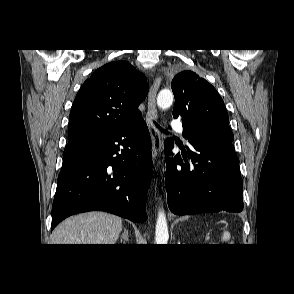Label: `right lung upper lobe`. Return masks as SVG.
<instances>
[{"label":"right lung upper lobe","instance_id":"right-lung-upper-lobe-1","mask_svg":"<svg viewBox=\"0 0 294 294\" xmlns=\"http://www.w3.org/2000/svg\"><path fill=\"white\" fill-rule=\"evenodd\" d=\"M146 77L126 61L105 64L80 88L72 105L69 141L115 130L140 115Z\"/></svg>","mask_w":294,"mask_h":294}]
</instances>
